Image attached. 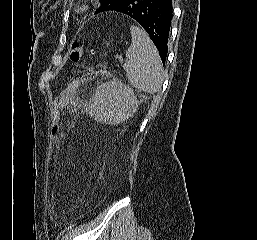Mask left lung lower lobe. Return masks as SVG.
<instances>
[{
  "mask_svg": "<svg viewBox=\"0 0 257 240\" xmlns=\"http://www.w3.org/2000/svg\"><path fill=\"white\" fill-rule=\"evenodd\" d=\"M109 11L125 14L137 21L151 37L165 64L173 17L171 0H123Z\"/></svg>",
  "mask_w": 257,
  "mask_h": 240,
  "instance_id": "1",
  "label": "left lung lower lobe"
}]
</instances>
